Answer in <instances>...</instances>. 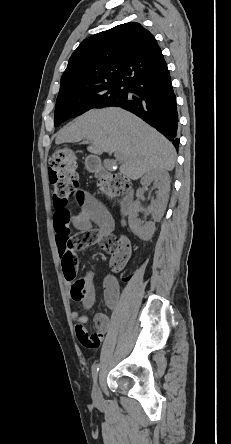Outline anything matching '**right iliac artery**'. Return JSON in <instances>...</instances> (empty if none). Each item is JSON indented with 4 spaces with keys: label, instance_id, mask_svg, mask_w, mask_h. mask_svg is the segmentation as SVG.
Here are the masks:
<instances>
[{
    "label": "right iliac artery",
    "instance_id": "1",
    "mask_svg": "<svg viewBox=\"0 0 231 444\" xmlns=\"http://www.w3.org/2000/svg\"><path fill=\"white\" fill-rule=\"evenodd\" d=\"M98 371H99V364L96 363L92 368V377L94 381L97 379Z\"/></svg>",
    "mask_w": 231,
    "mask_h": 444
}]
</instances>
